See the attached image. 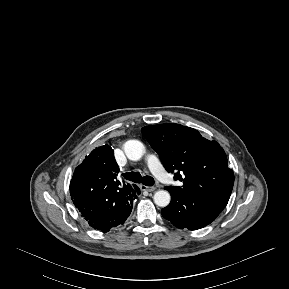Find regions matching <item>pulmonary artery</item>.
Masks as SVG:
<instances>
[{
    "label": "pulmonary artery",
    "instance_id": "pulmonary-artery-1",
    "mask_svg": "<svg viewBox=\"0 0 289 289\" xmlns=\"http://www.w3.org/2000/svg\"><path fill=\"white\" fill-rule=\"evenodd\" d=\"M147 165L150 171L162 182H167L169 180L168 174L162 167L159 159L154 154H149L147 156Z\"/></svg>",
    "mask_w": 289,
    "mask_h": 289
}]
</instances>
